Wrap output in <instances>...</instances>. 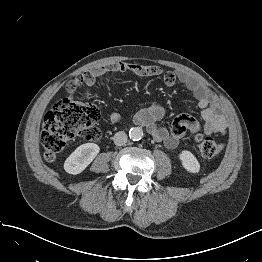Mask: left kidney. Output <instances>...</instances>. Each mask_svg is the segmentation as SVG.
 <instances>
[{"mask_svg":"<svg viewBox=\"0 0 262 262\" xmlns=\"http://www.w3.org/2000/svg\"><path fill=\"white\" fill-rule=\"evenodd\" d=\"M179 159L183 167L191 173H198L200 170V164L196 157L188 150H183L179 154Z\"/></svg>","mask_w":262,"mask_h":262,"instance_id":"obj_1","label":"left kidney"}]
</instances>
